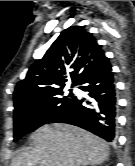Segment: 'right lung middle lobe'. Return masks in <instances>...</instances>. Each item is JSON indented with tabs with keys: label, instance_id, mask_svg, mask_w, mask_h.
I'll return each instance as SVG.
<instances>
[{
	"label": "right lung middle lobe",
	"instance_id": "right-lung-middle-lobe-1",
	"mask_svg": "<svg viewBox=\"0 0 135 166\" xmlns=\"http://www.w3.org/2000/svg\"><path fill=\"white\" fill-rule=\"evenodd\" d=\"M71 91V90H70ZM59 92L47 99L24 105L14 110V141L23 135L33 132L46 123H52L54 118L64 112L73 102L75 96L72 92L68 97H61Z\"/></svg>",
	"mask_w": 135,
	"mask_h": 166
}]
</instances>
